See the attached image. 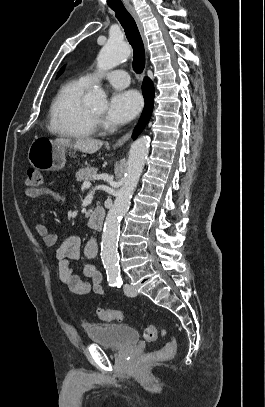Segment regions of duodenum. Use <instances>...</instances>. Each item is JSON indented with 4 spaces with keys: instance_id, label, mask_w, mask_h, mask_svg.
I'll return each mask as SVG.
<instances>
[{
    "instance_id": "obj_1",
    "label": "duodenum",
    "mask_w": 265,
    "mask_h": 407,
    "mask_svg": "<svg viewBox=\"0 0 265 407\" xmlns=\"http://www.w3.org/2000/svg\"><path fill=\"white\" fill-rule=\"evenodd\" d=\"M105 220V211L101 207L94 208L88 215V225L93 229H101Z\"/></svg>"
}]
</instances>
